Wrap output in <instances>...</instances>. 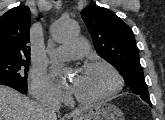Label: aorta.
I'll return each instance as SVG.
<instances>
[{
  "label": "aorta",
  "mask_w": 165,
  "mask_h": 120,
  "mask_svg": "<svg viewBox=\"0 0 165 120\" xmlns=\"http://www.w3.org/2000/svg\"><path fill=\"white\" fill-rule=\"evenodd\" d=\"M78 25L73 20H68L57 25L53 30V39L57 42H61L72 36L77 35Z\"/></svg>",
  "instance_id": "obj_1"
}]
</instances>
